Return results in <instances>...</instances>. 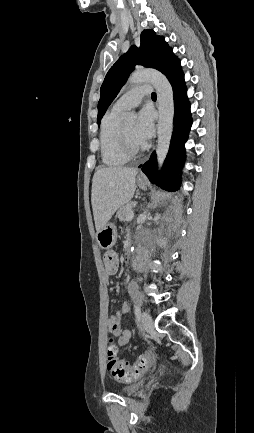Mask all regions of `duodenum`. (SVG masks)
I'll list each match as a JSON object with an SVG mask.
<instances>
[{
    "instance_id": "duodenum-1",
    "label": "duodenum",
    "mask_w": 254,
    "mask_h": 433,
    "mask_svg": "<svg viewBox=\"0 0 254 433\" xmlns=\"http://www.w3.org/2000/svg\"><path fill=\"white\" fill-rule=\"evenodd\" d=\"M130 246H131V242L128 240V241L126 242V249H127V251H129Z\"/></svg>"
}]
</instances>
